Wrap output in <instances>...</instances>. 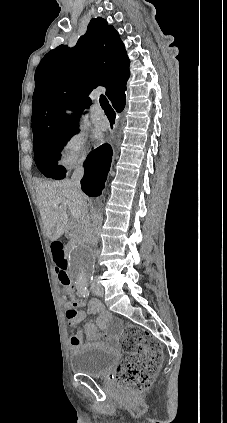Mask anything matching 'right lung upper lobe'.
<instances>
[{"instance_id": "1", "label": "right lung upper lobe", "mask_w": 227, "mask_h": 423, "mask_svg": "<svg viewBox=\"0 0 227 423\" xmlns=\"http://www.w3.org/2000/svg\"><path fill=\"white\" fill-rule=\"evenodd\" d=\"M129 64L117 31L100 17L90 20L74 48L60 45L48 52L35 71L34 140L75 133L81 111L90 105L87 95L98 86L106 87L113 106L124 101ZM66 107L73 108L71 117Z\"/></svg>"}]
</instances>
